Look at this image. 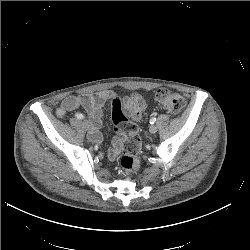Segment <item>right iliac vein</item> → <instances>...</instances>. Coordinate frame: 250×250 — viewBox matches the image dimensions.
<instances>
[{
  "mask_svg": "<svg viewBox=\"0 0 250 250\" xmlns=\"http://www.w3.org/2000/svg\"><path fill=\"white\" fill-rule=\"evenodd\" d=\"M82 124H83V126H84L87 130H89L90 127H91V124H90V122H89L88 120H83V121H82Z\"/></svg>",
  "mask_w": 250,
  "mask_h": 250,
  "instance_id": "63e3f726",
  "label": "right iliac vein"
}]
</instances>
